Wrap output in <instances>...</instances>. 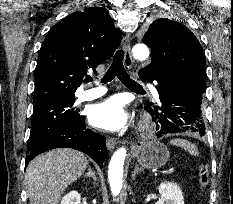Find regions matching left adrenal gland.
<instances>
[{
  "mask_svg": "<svg viewBox=\"0 0 233 204\" xmlns=\"http://www.w3.org/2000/svg\"><path fill=\"white\" fill-rule=\"evenodd\" d=\"M141 171V168L137 165L132 173V178L135 179L136 174H138Z\"/></svg>",
  "mask_w": 233,
  "mask_h": 204,
  "instance_id": "a2214340",
  "label": "left adrenal gland"
}]
</instances>
